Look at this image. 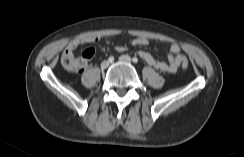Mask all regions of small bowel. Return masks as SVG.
I'll use <instances>...</instances> for the list:
<instances>
[{"label": "small bowel", "instance_id": "1", "mask_svg": "<svg viewBox=\"0 0 244 157\" xmlns=\"http://www.w3.org/2000/svg\"><path fill=\"white\" fill-rule=\"evenodd\" d=\"M100 41L99 37L96 36H88V37H82V38H76L72 40L66 47L68 50H76L80 45L87 44V43H98ZM130 43L134 46H145L149 43L148 39L145 37H135L131 39ZM92 52V56L94 55V49H87ZM115 50L118 52H123L126 50L125 46L118 45L115 47ZM139 57L150 67L164 72V73H175L180 64H181V53H180V47L174 43H169V56H168V62L159 61L156 60L150 53L146 51H139ZM89 58V59H90Z\"/></svg>", "mask_w": 244, "mask_h": 157}]
</instances>
